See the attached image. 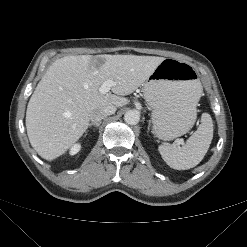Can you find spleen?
Wrapping results in <instances>:
<instances>
[{"label":"spleen","mask_w":247,"mask_h":247,"mask_svg":"<svg viewBox=\"0 0 247 247\" xmlns=\"http://www.w3.org/2000/svg\"><path fill=\"white\" fill-rule=\"evenodd\" d=\"M213 139V122L208 113L201 116V124L182 147L163 144L158 150L163 160L173 169L187 170L198 165L207 153Z\"/></svg>","instance_id":"3e777b00"}]
</instances>
